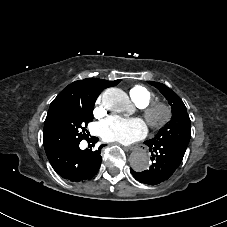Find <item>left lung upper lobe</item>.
I'll use <instances>...</instances> for the list:
<instances>
[{"label":"left lung upper lobe","instance_id":"left-lung-upper-lobe-1","mask_svg":"<svg viewBox=\"0 0 227 227\" xmlns=\"http://www.w3.org/2000/svg\"><path fill=\"white\" fill-rule=\"evenodd\" d=\"M148 83L159 89L172 107L171 120L151 141L173 142L187 147L191 138V121L183 101L164 84L151 81Z\"/></svg>","mask_w":227,"mask_h":227}]
</instances>
